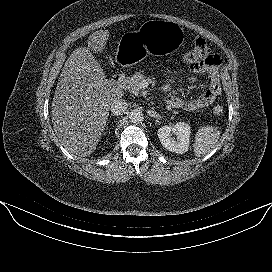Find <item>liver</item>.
<instances>
[{
    "label": "liver",
    "mask_w": 272,
    "mask_h": 272,
    "mask_svg": "<svg viewBox=\"0 0 272 272\" xmlns=\"http://www.w3.org/2000/svg\"><path fill=\"white\" fill-rule=\"evenodd\" d=\"M107 30L95 31L88 47L75 49L60 74L52 101V123L61 145L70 153L90 156L106 126L111 104L123 90L105 76L91 50L101 52Z\"/></svg>",
    "instance_id": "obj_1"
}]
</instances>
